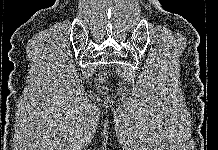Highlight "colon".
Masks as SVG:
<instances>
[{
  "label": "colon",
  "instance_id": "obj_1",
  "mask_svg": "<svg viewBox=\"0 0 218 150\" xmlns=\"http://www.w3.org/2000/svg\"><path fill=\"white\" fill-rule=\"evenodd\" d=\"M105 73L101 72L98 78L99 83H102L103 79H104Z\"/></svg>",
  "mask_w": 218,
  "mask_h": 150
}]
</instances>
